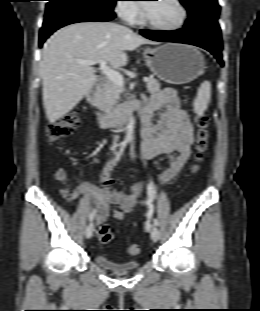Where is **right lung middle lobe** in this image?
<instances>
[{"mask_svg": "<svg viewBox=\"0 0 260 311\" xmlns=\"http://www.w3.org/2000/svg\"><path fill=\"white\" fill-rule=\"evenodd\" d=\"M86 1L92 2L93 4L104 10L113 11V7L115 5L116 0H86Z\"/></svg>", "mask_w": 260, "mask_h": 311, "instance_id": "dd1d6c3e", "label": "right lung middle lobe"}]
</instances>
